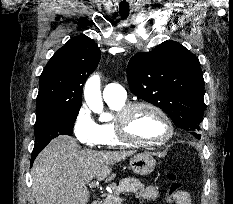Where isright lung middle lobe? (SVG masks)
Segmentation results:
<instances>
[{
	"mask_svg": "<svg viewBox=\"0 0 233 204\" xmlns=\"http://www.w3.org/2000/svg\"><path fill=\"white\" fill-rule=\"evenodd\" d=\"M79 109L51 111L37 115L35 123V146H46L59 135H72Z\"/></svg>",
	"mask_w": 233,
	"mask_h": 204,
	"instance_id": "obj_1",
	"label": "right lung middle lobe"
}]
</instances>
